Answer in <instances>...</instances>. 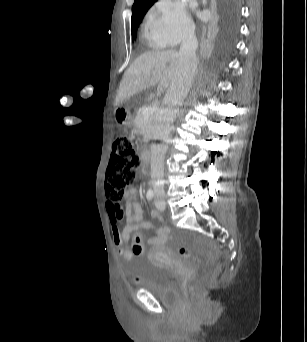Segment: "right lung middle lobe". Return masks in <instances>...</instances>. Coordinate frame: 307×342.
<instances>
[{
	"label": "right lung middle lobe",
	"instance_id": "right-lung-middle-lobe-1",
	"mask_svg": "<svg viewBox=\"0 0 307 342\" xmlns=\"http://www.w3.org/2000/svg\"><path fill=\"white\" fill-rule=\"evenodd\" d=\"M132 37H133V39H135V38H136V34H135V35H132Z\"/></svg>",
	"mask_w": 307,
	"mask_h": 342
}]
</instances>
